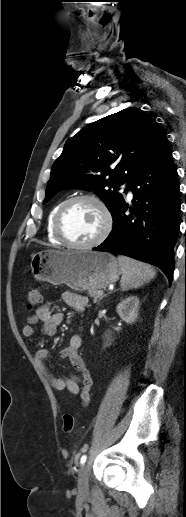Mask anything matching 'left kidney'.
<instances>
[{
  "mask_svg": "<svg viewBox=\"0 0 186 517\" xmlns=\"http://www.w3.org/2000/svg\"><path fill=\"white\" fill-rule=\"evenodd\" d=\"M139 310V299L137 296H129L122 300L116 307V311L120 318L128 324H132L137 316Z\"/></svg>",
  "mask_w": 186,
  "mask_h": 517,
  "instance_id": "5707ae66",
  "label": "left kidney"
}]
</instances>
